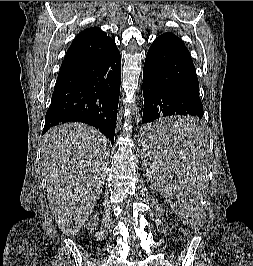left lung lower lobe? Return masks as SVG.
<instances>
[{
  "mask_svg": "<svg viewBox=\"0 0 253 266\" xmlns=\"http://www.w3.org/2000/svg\"><path fill=\"white\" fill-rule=\"evenodd\" d=\"M143 124L151 141H168L176 137L195 136L198 118L203 117L196 69L183 41L172 33H164L150 46L143 69ZM173 115L195 118L167 122Z\"/></svg>",
  "mask_w": 253,
  "mask_h": 266,
  "instance_id": "left-lung-lower-lobe-1",
  "label": "left lung lower lobe"
}]
</instances>
